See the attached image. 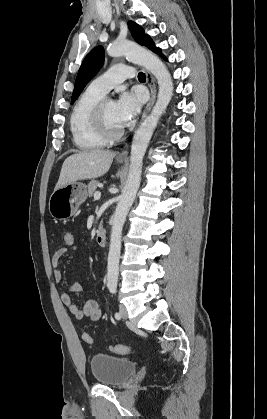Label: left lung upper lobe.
I'll return each instance as SVG.
<instances>
[{"label": "left lung upper lobe", "instance_id": "1", "mask_svg": "<svg viewBox=\"0 0 267 419\" xmlns=\"http://www.w3.org/2000/svg\"><path fill=\"white\" fill-rule=\"evenodd\" d=\"M128 28L135 41L143 46L148 47L153 52H158L159 48L154 45L152 39L145 34L143 28L133 21L128 22ZM104 61V49L102 46L95 47L84 59L79 69L75 87L72 95V103L77 99L80 92L86 84L100 70Z\"/></svg>", "mask_w": 267, "mask_h": 419}]
</instances>
